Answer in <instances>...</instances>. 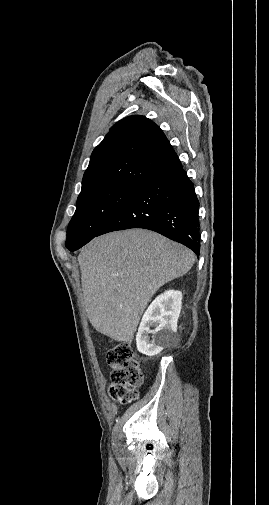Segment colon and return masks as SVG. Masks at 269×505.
<instances>
[{"instance_id": "colon-1", "label": "colon", "mask_w": 269, "mask_h": 505, "mask_svg": "<svg viewBox=\"0 0 269 505\" xmlns=\"http://www.w3.org/2000/svg\"><path fill=\"white\" fill-rule=\"evenodd\" d=\"M106 361L111 368V397L122 404L137 399L135 388L141 385L143 375L131 345L127 342L117 343L107 351Z\"/></svg>"}]
</instances>
